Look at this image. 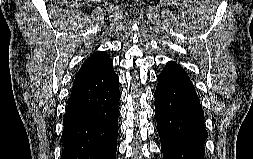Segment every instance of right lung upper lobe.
Instances as JSON below:
<instances>
[{
	"label": "right lung upper lobe",
	"mask_w": 253,
	"mask_h": 159,
	"mask_svg": "<svg viewBox=\"0 0 253 159\" xmlns=\"http://www.w3.org/2000/svg\"><path fill=\"white\" fill-rule=\"evenodd\" d=\"M112 63L109 55L102 51L93 53L81 66L75 76L74 82L85 79L106 68Z\"/></svg>",
	"instance_id": "cb5924a9"
}]
</instances>
